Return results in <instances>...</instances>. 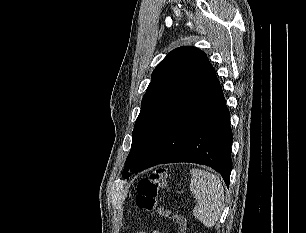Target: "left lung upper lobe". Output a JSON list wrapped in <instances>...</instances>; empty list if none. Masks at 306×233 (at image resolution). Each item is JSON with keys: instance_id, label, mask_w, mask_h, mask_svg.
<instances>
[{"instance_id": "left-lung-upper-lobe-1", "label": "left lung upper lobe", "mask_w": 306, "mask_h": 233, "mask_svg": "<svg viewBox=\"0 0 306 233\" xmlns=\"http://www.w3.org/2000/svg\"><path fill=\"white\" fill-rule=\"evenodd\" d=\"M151 79L134 125L124 178L137 172L167 132L217 81L206 54L192 46L172 50Z\"/></svg>"}]
</instances>
